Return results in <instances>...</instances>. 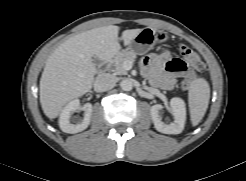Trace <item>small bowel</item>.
Returning <instances> with one entry per match:
<instances>
[{
	"label": "small bowel",
	"instance_id": "1",
	"mask_svg": "<svg viewBox=\"0 0 246 181\" xmlns=\"http://www.w3.org/2000/svg\"><path fill=\"white\" fill-rule=\"evenodd\" d=\"M141 64L143 73L150 81L163 89H171L178 77L188 73L185 62L173 58L168 50L145 56Z\"/></svg>",
	"mask_w": 246,
	"mask_h": 181
}]
</instances>
